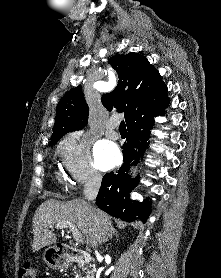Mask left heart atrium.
<instances>
[{
  "instance_id": "1",
  "label": "left heart atrium",
  "mask_w": 221,
  "mask_h": 278,
  "mask_svg": "<svg viewBox=\"0 0 221 278\" xmlns=\"http://www.w3.org/2000/svg\"><path fill=\"white\" fill-rule=\"evenodd\" d=\"M94 157L101 170H108L119 162L120 151L113 142L101 140L94 147Z\"/></svg>"
}]
</instances>
